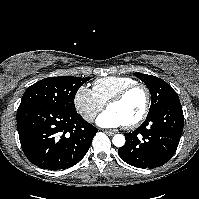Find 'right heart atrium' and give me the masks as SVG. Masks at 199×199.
<instances>
[{"label": "right heart atrium", "mask_w": 199, "mask_h": 199, "mask_svg": "<svg viewBox=\"0 0 199 199\" xmlns=\"http://www.w3.org/2000/svg\"><path fill=\"white\" fill-rule=\"evenodd\" d=\"M74 105L87 122H93L97 114L104 108V104L87 86H81L77 89L74 95Z\"/></svg>", "instance_id": "right-heart-atrium-1"}]
</instances>
